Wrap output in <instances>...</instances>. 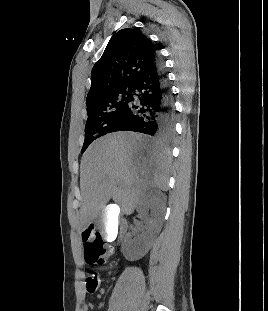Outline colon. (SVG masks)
Instances as JSON below:
<instances>
[{"mask_svg": "<svg viewBox=\"0 0 268 311\" xmlns=\"http://www.w3.org/2000/svg\"><path fill=\"white\" fill-rule=\"evenodd\" d=\"M84 242V258L88 264L102 266L114 254L112 247L106 246L104 238L94 227H88L82 233ZM100 279L96 274H89L86 280L87 290L94 292L98 289Z\"/></svg>", "mask_w": 268, "mask_h": 311, "instance_id": "colon-1", "label": "colon"}]
</instances>
